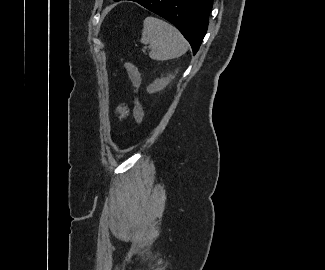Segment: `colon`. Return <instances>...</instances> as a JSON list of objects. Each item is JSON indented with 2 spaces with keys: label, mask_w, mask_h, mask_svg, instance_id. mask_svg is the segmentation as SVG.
Here are the masks:
<instances>
[{
  "label": "colon",
  "mask_w": 325,
  "mask_h": 270,
  "mask_svg": "<svg viewBox=\"0 0 325 270\" xmlns=\"http://www.w3.org/2000/svg\"><path fill=\"white\" fill-rule=\"evenodd\" d=\"M124 67L127 71V74L131 80V83L134 87L135 92H138V89L140 87L141 84V76L140 73L137 69V67L130 61H126L124 64ZM133 114H134V119L136 121L137 124H141L144 118V111L142 108L141 103L138 100V97H135L134 100V110H133Z\"/></svg>",
  "instance_id": "5ec220e1"
}]
</instances>
